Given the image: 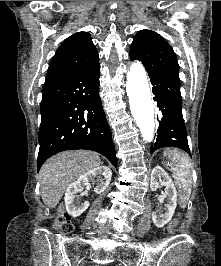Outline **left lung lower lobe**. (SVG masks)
<instances>
[{
  "mask_svg": "<svg viewBox=\"0 0 221 266\" xmlns=\"http://www.w3.org/2000/svg\"><path fill=\"white\" fill-rule=\"evenodd\" d=\"M160 114L157 139L151 153L163 147H178L190 154L186 127L182 116L180 81L160 75H149Z\"/></svg>",
  "mask_w": 221,
  "mask_h": 266,
  "instance_id": "1",
  "label": "left lung lower lobe"
}]
</instances>
